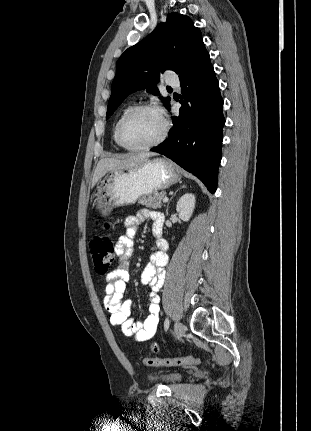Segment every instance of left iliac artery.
I'll return each instance as SVG.
<instances>
[{
    "mask_svg": "<svg viewBox=\"0 0 311 431\" xmlns=\"http://www.w3.org/2000/svg\"><path fill=\"white\" fill-rule=\"evenodd\" d=\"M169 324H170V322H169V319L167 318V319L165 320V322H164V329H165V331H167V330H168V328H169Z\"/></svg>",
    "mask_w": 311,
    "mask_h": 431,
    "instance_id": "44dca946",
    "label": "left iliac artery"
}]
</instances>
